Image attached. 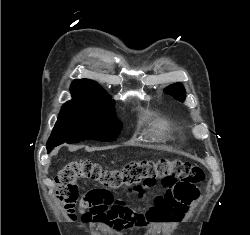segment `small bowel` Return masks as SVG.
I'll return each instance as SVG.
<instances>
[{
  "instance_id": "small-bowel-1",
  "label": "small bowel",
  "mask_w": 250,
  "mask_h": 235,
  "mask_svg": "<svg viewBox=\"0 0 250 235\" xmlns=\"http://www.w3.org/2000/svg\"><path fill=\"white\" fill-rule=\"evenodd\" d=\"M144 196V192L140 193ZM190 204H185L175 198L170 188L164 194L155 197L153 204L147 211V219L150 223H162L180 220L189 210ZM80 213L84 208L80 207Z\"/></svg>"
}]
</instances>
